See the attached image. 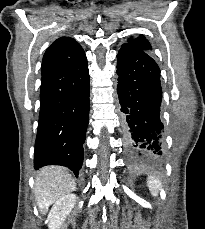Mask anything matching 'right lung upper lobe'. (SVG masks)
I'll return each instance as SVG.
<instances>
[{"label": "right lung upper lobe", "mask_w": 205, "mask_h": 229, "mask_svg": "<svg viewBox=\"0 0 205 229\" xmlns=\"http://www.w3.org/2000/svg\"><path fill=\"white\" fill-rule=\"evenodd\" d=\"M56 49V57L68 68H76L86 61L85 53L78 42L70 37H61L51 45Z\"/></svg>", "instance_id": "cb5924a9"}]
</instances>
